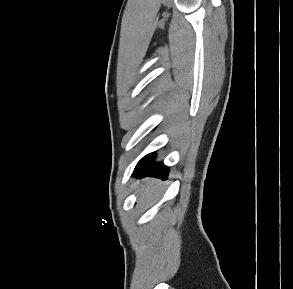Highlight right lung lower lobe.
I'll use <instances>...</instances> for the list:
<instances>
[{
	"label": "right lung lower lobe",
	"instance_id": "98d812e1",
	"mask_svg": "<svg viewBox=\"0 0 293 289\" xmlns=\"http://www.w3.org/2000/svg\"><path fill=\"white\" fill-rule=\"evenodd\" d=\"M155 152L146 155L137 164L134 176H154L159 178H167L169 168L162 162L154 163Z\"/></svg>",
	"mask_w": 293,
	"mask_h": 289
}]
</instances>
